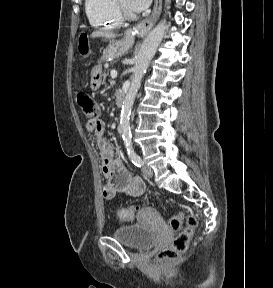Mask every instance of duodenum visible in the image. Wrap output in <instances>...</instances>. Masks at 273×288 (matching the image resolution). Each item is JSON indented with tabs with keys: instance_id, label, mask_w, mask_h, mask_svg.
I'll list each match as a JSON object with an SVG mask.
<instances>
[{
	"instance_id": "1",
	"label": "duodenum",
	"mask_w": 273,
	"mask_h": 288,
	"mask_svg": "<svg viewBox=\"0 0 273 288\" xmlns=\"http://www.w3.org/2000/svg\"><path fill=\"white\" fill-rule=\"evenodd\" d=\"M125 102V93L123 91H118L116 93V103L122 105Z\"/></svg>"
}]
</instances>
